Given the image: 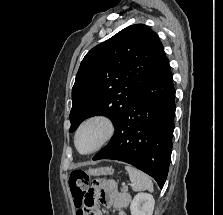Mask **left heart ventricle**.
I'll return each mask as SVG.
<instances>
[{"mask_svg":"<svg viewBox=\"0 0 223 215\" xmlns=\"http://www.w3.org/2000/svg\"><path fill=\"white\" fill-rule=\"evenodd\" d=\"M102 131L98 126H88L81 130L78 136L77 145L81 151L92 149L100 140Z\"/></svg>","mask_w":223,"mask_h":215,"instance_id":"obj_1","label":"left heart ventricle"}]
</instances>
